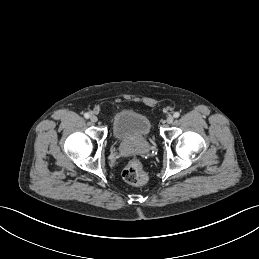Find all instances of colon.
Listing matches in <instances>:
<instances>
[{"instance_id":"obj_1","label":"colon","mask_w":259,"mask_h":259,"mask_svg":"<svg viewBox=\"0 0 259 259\" xmlns=\"http://www.w3.org/2000/svg\"><path fill=\"white\" fill-rule=\"evenodd\" d=\"M124 180L132 185H143L147 181V174L138 159H131L123 170Z\"/></svg>"}]
</instances>
